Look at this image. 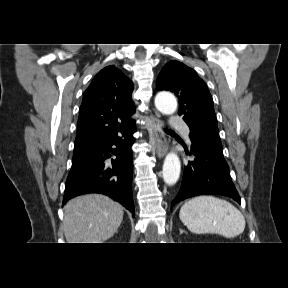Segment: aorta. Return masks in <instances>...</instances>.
Returning a JSON list of instances; mask_svg holds the SVG:
<instances>
[{
    "mask_svg": "<svg viewBox=\"0 0 288 288\" xmlns=\"http://www.w3.org/2000/svg\"><path fill=\"white\" fill-rule=\"evenodd\" d=\"M156 108L163 114H173L177 109L176 98L171 93L162 92L157 94L155 98ZM181 163L178 155L170 152L166 155L162 175L167 185H174L180 176Z\"/></svg>",
    "mask_w": 288,
    "mask_h": 288,
    "instance_id": "1",
    "label": "aorta"
}]
</instances>
